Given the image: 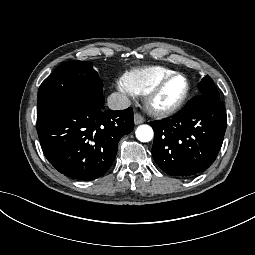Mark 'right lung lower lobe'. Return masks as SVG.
Instances as JSON below:
<instances>
[{
	"mask_svg": "<svg viewBox=\"0 0 255 255\" xmlns=\"http://www.w3.org/2000/svg\"><path fill=\"white\" fill-rule=\"evenodd\" d=\"M134 128L133 109L112 111L80 96L59 98L37 111L45 157L67 177L94 180L112 165L120 138Z\"/></svg>",
	"mask_w": 255,
	"mask_h": 255,
	"instance_id": "1",
	"label": "right lung lower lobe"
}]
</instances>
